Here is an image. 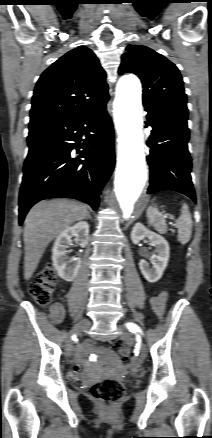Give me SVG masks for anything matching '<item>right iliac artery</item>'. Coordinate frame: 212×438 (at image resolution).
<instances>
[{
	"label": "right iliac artery",
	"instance_id": "right-iliac-artery-1",
	"mask_svg": "<svg viewBox=\"0 0 212 438\" xmlns=\"http://www.w3.org/2000/svg\"><path fill=\"white\" fill-rule=\"evenodd\" d=\"M75 337H76L75 335L72 336V338H75Z\"/></svg>",
	"mask_w": 212,
	"mask_h": 438
}]
</instances>
